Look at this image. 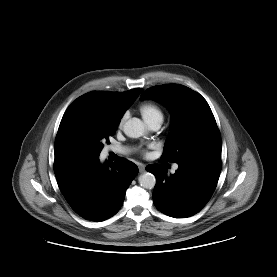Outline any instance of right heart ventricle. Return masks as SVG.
<instances>
[{"instance_id":"obj_1","label":"right heart ventricle","mask_w":277,"mask_h":277,"mask_svg":"<svg viewBox=\"0 0 277 277\" xmlns=\"http://www.w3.org/2000/svg\"><path fill=\"white\" fill-rule=\"evenodd\" d=\"M139 111L147 124L154 121H163L162 109L153 102H145L139 106Z\"/></svg>"}]
</instances>
